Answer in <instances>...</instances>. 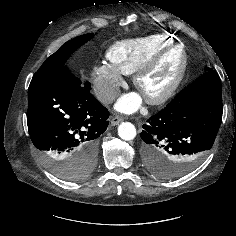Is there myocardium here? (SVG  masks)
Masks as SVG:
<instances>
[{"label":"myocardium","instance_id":"myocardium-1","mask_svg":"<svg viewBox=\"0 0 236 236\" xmlns=\"http://www.w3.org/2000/svg\"><path fill=\"white\" fill-rule=\"evenodd\" d=\"M179 49L180 51V64L176 76L170 85L158 94H146L141 89L142 79L157 65V63L164 57L166 54ZM188 57L187 52L182 43L173 42L170 45L160 49L149 57L135 72L133 75V83L135 87L143 94L145 100L152 105H158L166 102L170 99L178 90L182 84L186 71H187Z\"/></svg>","mask_w":236,"mask_h":236}]
</instances>
